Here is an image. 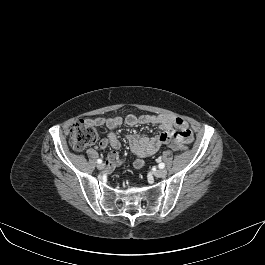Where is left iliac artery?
I'll use <instances>...</instances> for the list:
<instances>
[{"label": "left iliac artery", "mask_w": 265, "mask_h": 265, "mask_svg": "<svg viewBox=\"0 0 265 265\" xmlns=\"http://www.w3.org/2000/svg\"><path fill=\"white\" fill-rule=\"evenodd\" d=\"M157 162H161V158L159 157L158 159H156ZM165 167V164L164 163H160L159 164V168L160 169H163Z\"/></svg>", "instance_id": "44dca946"}]
</instances>
